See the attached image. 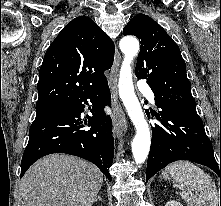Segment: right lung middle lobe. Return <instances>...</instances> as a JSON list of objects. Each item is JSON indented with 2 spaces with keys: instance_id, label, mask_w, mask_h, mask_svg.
I'll return each instance as SVG.
<instances>
[{
  "instance_id": "1",
  "label": "right lung middle lobe",
  "mask_w": 221,
  "mask_h": 206,
  "mask_svg": "<svg viewBox=\"0 0 221 206\" xmlns=\"http://www.w3.org/2000/svg\"><path fill=\"white\" fill-rule=\"evenodd\" d=\"M59 107H61V106H59ZM56 108H58V107L36 108V114L48 112V111L54 110Z\"/></svg>"
}]
</instances>
